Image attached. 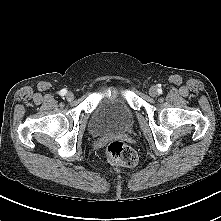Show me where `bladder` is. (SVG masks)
Wrapping results in <instances>:
<instances>
[{
    "label": "bladder",
    "instance_id": "1",
    "mask_svg": "<svg viewBox=\"0 0 221 221\" xmlns=\"http://www.w3.org/2000/svg\"><path fill=\"white\" fill-rule=\"evenodd\" d=\"M134 123V114L121 94H101L91 112L88 130L96 137L128 133Z\"/></svg>",
    "mask_w": 221,
    "mask_h": 221
}]
</instances>
